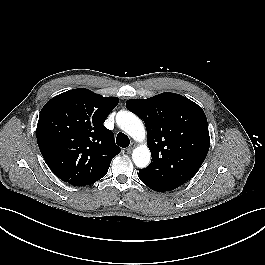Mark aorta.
Segmentation results:
<instances>
[{"instance_id":"762f6f07","label":"aorta","mask_w":265,"mask_h":265,"mask_svg":"<svg viewBox=\"0 0 265 265\" xmlns=\"http://www.w3.org/2000/svg\"><path fill=\"white\" fill-rule=\"evenodd\" d=\"M118 126L136 141H143L146 132L142 121L131 112H120L116 116ZM151 154L146 145H140L132 153V159L139 168H145L150 163Z\"/></svg>"}]
</instances>
